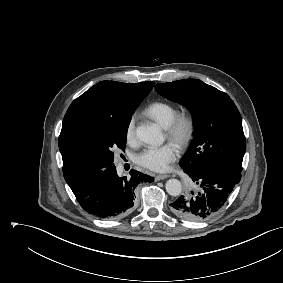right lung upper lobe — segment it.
Masks as SVG:
<instances>
[{"label": "right lung upper lobe", "instance_id": "right-lung-upper-lobe-1", "mask_svg": "<svg viewBox=\"0 0 283 283\" xmlns=\"http://www.w3.org/2000/svg\"><path fill=\"white\" fill-rule=\"evenodd\" d=\"M154 82L121 83L101 81L75 99L68 108L59 137V149L63 159V174L68 185H73L97 169L87 161L69 152L63 139L69 126L77 119L115 116L137 108L149 94Z\"/></svg>", "mask_w": 283, "mask_h": 283}]
</instances>
